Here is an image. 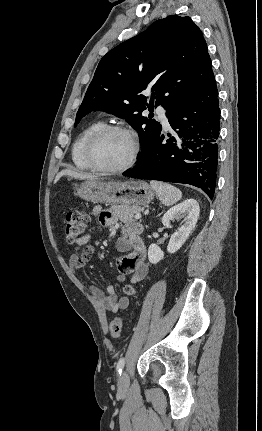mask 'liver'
I'll use <instances>...</instances> for the list:
<instances>
[{"instance_id":"obj_1","label":"liver","mask_w":262,"mask_h":431,"mask_svg":"<svg viewBox=\"0 0 262 431\" xmlns=\"http://www.w3.org/2000/svg\"><path fill=\"white\" fill-rule=\"evenodd\" d=\"M63 176H70L72 178H76L79 180H93V179H97L96 176L91 175V174H86V173H81V172H77L75 170H71V169H63L62 171H60L54 180V183H56L57 181H59V179Z\"/></svg>"}]
</instances>
